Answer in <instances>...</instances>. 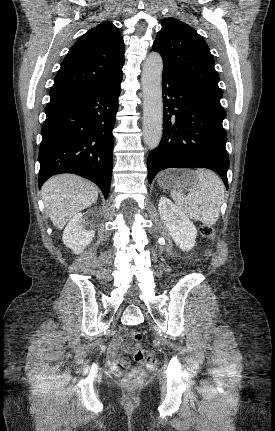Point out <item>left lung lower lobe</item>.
I'll return each instance as SVG.
<instances>
[{"label": "left lung lower lobe", "instance_id": "obj_1", "mask_svg": "<svg viewBox=\"0 0 275 431\" xmlns=\"http://www.w3.org/2000/svg\"><path fill=\"white\" fill-rule=\"evenodd\" d=\"M163 136L147 160L148 181L166 168L202 167L222 178L228 189L225 110L216 108L180 78L163 70Z\"/></svg>", "mask_w": 275, "mask_h": 431}]
</instances>
